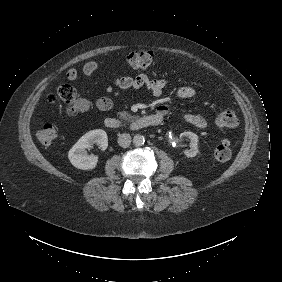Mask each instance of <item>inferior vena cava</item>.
<instances>
[{
    "instance_id": "inferior-vena-cava-1",
    "label": "inferior vena cava",
    "mask_w": 282,
    "mask_h": 282,
    "mask_svg": "<svg viewBox=\"0 0 282 282\" xmlns=\"http://www.w3.org/2000/svg\"><path fill=\"white\" fill-rule=\"evenodd\" d=\"M117 142L121 147H128L131 143V136L127 133L119 134Z\"/></svg>"
}]
</instances>
